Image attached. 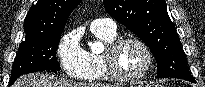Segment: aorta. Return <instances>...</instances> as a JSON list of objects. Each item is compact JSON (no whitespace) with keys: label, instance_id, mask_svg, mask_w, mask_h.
<instances>
[{"label":"aorta","instance_id":"obj_1","mask_svg":"<svg viewBox=\"0 0 205 87\" xmlns=\"http://www.w3.org/2000/svg\"><path fill=\"white\" fill-rule=\"evenodd\" d=\"M98 46H99V43H94V44L91 45V48H92V49H95V48H97Z\"/></svg>","mask_w":205,"mask_h":87}]
</instances>
